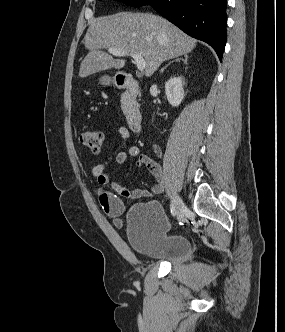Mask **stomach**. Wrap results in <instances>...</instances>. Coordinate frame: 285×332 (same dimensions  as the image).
Listing matches in <instances>:
<instances>
[{
    "label": "stomach",
    "mask_w": 285,
    "mask_h": 332,
    "mask_svg": "<svg viewBox=\"0 0 285 332\" xmlns=\"http://www.w3.org/2000/svg\"><path fill=\"white\" fill-rule=\"evenodd\" d=\"M115 82V78H111L108 75H103L99 78V83L103 86H108Z\"/></svg>",
    "instance_id": "0dacf381"
}]
</instances>
